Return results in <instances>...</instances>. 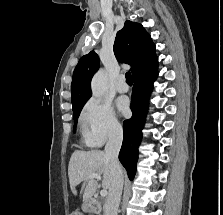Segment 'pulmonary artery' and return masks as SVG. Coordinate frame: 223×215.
I'll return each instance as SVG.
<instances>
[{
    "label": "pulmonary artery",
    "mask_w": 223,
    "mask_h": 215,
    "mask_svg": "<svg viewBox=\"0 0 223 215\" xmlns=\"http://www.w3.org/2000/svg\"><path fill=\"white\" fill-rule=\"evenodd\" d=\"M115 86H116L117 91L120 93H125L129 90V86L126 83V80L123 76H120L117 79Z\"/></svg>",
    "instance_id": "obj_1"
}]
</instances>
